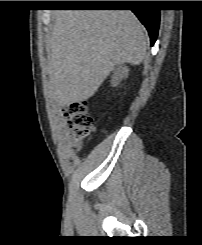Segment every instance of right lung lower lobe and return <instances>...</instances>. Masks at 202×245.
<instances>
[{
	"mask_svg": "<svg viewBox=\"0 0 202 245\" xmlns=\"http://www.w3.org/2000/svg\"><path fill=\"white\" fill-rule=\"evenodd\" d=\"M144 4L143 1H133L129 4L133 6L131 10L138 17L141 23L146 27L149 36L151 45H154L159 29L160 21V12L156 9H148L141 7ZM84 6H97V7H106V6H128L122 5V3H86Z\"/></svg>",
	"mask_w": 202,
	"mask_h": 245,
	"instance_id": "1",
	"label": "right lung lower lobe"
}]
</instances>
